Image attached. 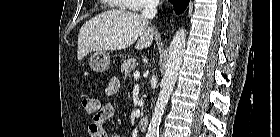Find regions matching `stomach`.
<instances>
[{
    "label": "stomach",
    "instance_id": "stomach-1",
    "mask_svg": "<svg viewBox=\"0 0 280 137\" xmlns=\"http://www.w3.org/2000/svg\"><path fill=\"white\" fill-rule=\"evenodd\" d=\"M110 62V56L106 51H96L89 58V66L95 72H105Z\"/></svg>",
    "mask_w": 280,
    "mask_h": 137
}]
</instances>
